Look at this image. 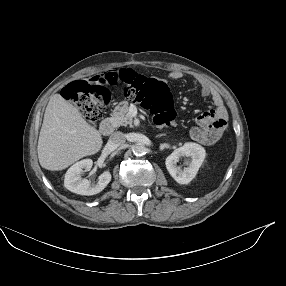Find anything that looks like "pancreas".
<instances>
[{
    "mask_svg": "<svg viewBox=\"0 0 286 286\" xmlns=\"http://www.w3.org/2000/svg\"><path fill=\"white\" fill-rule=\"evenodd\" d=\"M112 119L117 126L132 125L133 116L129 113V105L126 101L120 102L114 108Z\"/></svg>",
    "mask_w": 286,
    "mask_h": 286,
    "instance_id": "obj_1",
    "label": "pancreas"
}]
</instances>
